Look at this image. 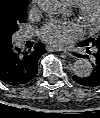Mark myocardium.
Listing matches in <instances>:
<instances>
[{"label": "myocardium", "mask_w": 100, "mask_h": 118, "mask_svg": "<svg viewBox=\"0 0 100 118\" xmlns=\"http://www.w3.org/2000/svg\"><path fill=\"white\" fill-rule=\"evenodd\" d=\"M75 6L77 16L83 26L89 30L96 29L100 23V1L81 0Z\"/></svg>", "instance_id": "f54148a6"}]
</instances>
